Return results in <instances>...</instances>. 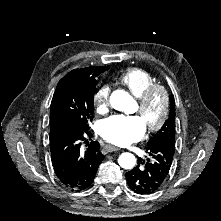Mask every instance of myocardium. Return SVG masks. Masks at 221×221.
I'll return each mask as SVG.
<instances>
[{"instance_id":"1","label":"myocardium","mask_w":221,"mask_h":221,"mask_svg":"<svg viewBox=\"0 0 221 221\" xmlns=\"http://www.w3.org/2000/svg\"><path fill=\"white\" fill-rule=\"evenodd\" d=\"M156 96H159L161 98L162 108L158 119L154 123L146 125V129L149 133L157 132L165 125L170 113L169 94L164 86L154 84L149 87L140 98H138V111L141 115H144L147 112L151 101Z\"/></svg>"}]
</instances>
